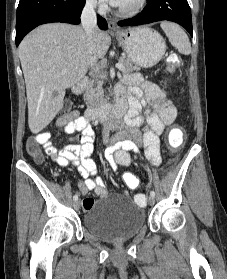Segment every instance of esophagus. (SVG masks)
<instances>
[{
	"mask_svg": "<svg viewBox=\"0 0 227 279\" xmlns=\"http://www.w3.org/2000/svg\"><path fill=\"white\" fill-rule=\"evenodd\" d=\"M108 27L111 32L117 33L120 31L119 27L113 21L108 22Z\"/></svg>",
	"mask_w": 227,
	"mask_h": 279,
	"instance_id": "1",
	"label": "esophagus"
}]
</instances>
